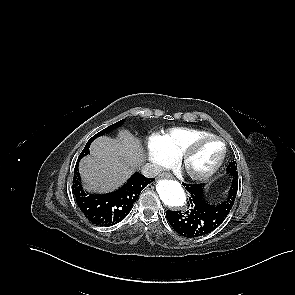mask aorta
Here are the masks:
<instances>
[{
	"label": "aorta",
	"mask_w": 295,
	"mask_h": 295,
	"mask_svg": "<svg viewBox=\"0 0 295 295\" xmlns=\"http://www.w3.org/2000/svg\"><path fill=\"white\" fill-rule=\"evenodd\" d=\"M161 201L168 207L178 208L186 204V193L179 182L161 179L156 184Z\"/></svg>",
	"instance_id": "obj_1"
}]
</instances>
